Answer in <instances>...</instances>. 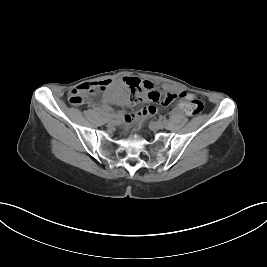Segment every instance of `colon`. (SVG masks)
<instances>
[{
    "instance_id": "colon-1",
    "label": "colon",
    "mask_w": 267,
    "mask_h": 267,
    "mask_svg": "<svg viewBox=\"0 0 267 267\" xmlns=\"http://www.w3.org/2000/svg\"><path fill=\"white\" fill-rule=\"evenodd\" d=\"M124 86L129 91L127 96V102L129 104H138L142 101H148L160 105H169L175 99L173 94L153 89L150 82L137 78L126 79ZM105 87L106 83L100 84V89H104ZM91 90L88 83H84L72 89L68 97L69 102L72 105H81L87 99L88 93ZM183 96V111L188 116H195L201 113L204 107L201 98L192 93L183 94Z\"/></svg>"
}]
</instances>
